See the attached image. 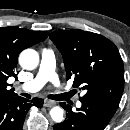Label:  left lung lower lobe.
I'll use <instances>...</instances> for the list:
<instances>
[{
    "instance_id": "obj_1",
    "label": "left lung lower lobe",
    "mask_w": 130,
    "mask_h": 130,
    "mask_svg": "<svg viewBox=\"0 0 130 130\" xmlns=\"http://www.w3.org/2000/svg\"><path fill=\"white\" fill-rule=\"evenodd\" d=\"M81 108L76 112L65 102L60 105L66 110V119L54 125L53 130H103L113 117L116 109L95 100L81 99Z\"/></svg>"
}]
</instances>
